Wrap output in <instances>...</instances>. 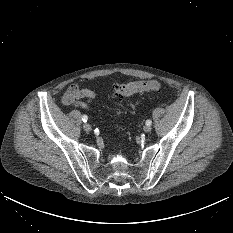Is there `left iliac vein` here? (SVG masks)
I'll list each match as a JSON object with an SVG mask.
<instances>
[{
	"instance_id": "left-iliac-vein-1",
	"label": "left iliac vein",
	"mask_w": 233,
	"mask_h": 233,
	"mask_svg": "<svg viewBox=\"0 0 233 233\" xmlns=\"http://www.w3.org/2000/svg\"><path fill=\"white\" fill-rule=\"evenodd\" d=\"M144 131H145V132H150V131H151V126H150V125H146V126L144 127Z\"/></svg>"
}]
</instances>
